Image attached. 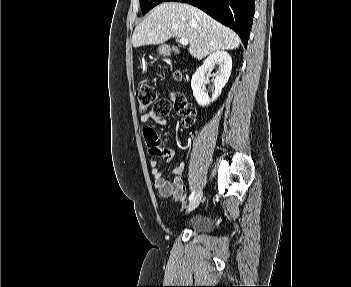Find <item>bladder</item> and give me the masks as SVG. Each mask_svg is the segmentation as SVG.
<instances>
[{"label": "bladder", "mask_w": 351, "mask_h": 287, "mask_svg": "<svg viewBox=\"0 0 351 287\" xmlns=\"http://www.w3.org/2000/svg\"><path fill=\"white\" fill-rule=\"evenodd\" d=\"M213 228V223L207 216L193 217L188 225V229L197 233H209Z\"/></svg>", "instance_id": "obj_1"}]
</instances>
